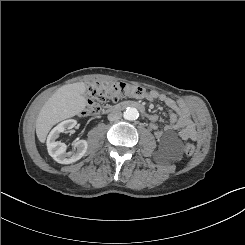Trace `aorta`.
I'll use <instances>...</instances> for the list:
<instances>
[{
	"label": "aorta",
	"mask_w": 245,
	"mask_h": 245,
	"mask_svg": "<svg viewBox=\"0 0 245 245\" xmlns=\"http://www.w3.org/2000/svg\"><path fill=\"white\" fill-rule=\"evenodd\" d=\"M139 116V112L134 107H128L126 111L124 112V118L127 120H136Z\"/></svg>",
	"instance_id": "aorta-1"
}]
</instances>
